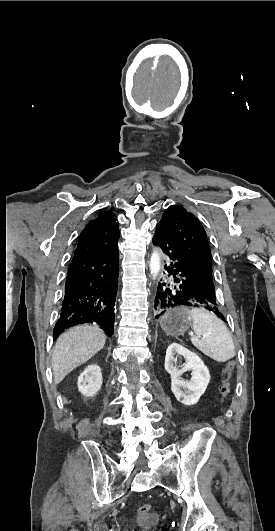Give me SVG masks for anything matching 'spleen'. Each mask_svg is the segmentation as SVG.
<instances>
[{"mask_svg": "<svg viewBox=\"0 0 275 531\" xmlns=\"http://www.w3.org/2000/svg\"><path fill=\"white\" fill-rule=\"evenodd\" d=\"M188 313L195 333L191 337V343L196 349L217 363H225L235 357L233 339L224 321L205 309H191Z\"/></svg>", "mask_w": 275, "mask_h": 531, "instance_id": "3e777b00", "label": "spleen"}]
</instances>
